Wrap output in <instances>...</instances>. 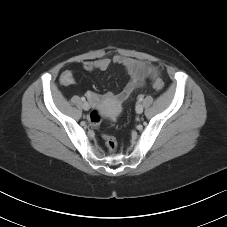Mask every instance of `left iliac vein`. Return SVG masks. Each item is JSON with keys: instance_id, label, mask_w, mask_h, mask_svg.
Listing matches in <instances>:
<instances>
[{"instance_id": "1", "label": "left iliac vein", "mask_w": 227, "mask_h": 227, "mask_svg": "<svg viewBox=\"0 0 227 227\" xmlns=\"http://www.w3.org/2000/svg\"><path fill=\"white\" fill-rule=\"evenodd\" d=\"M135 110L138 114H141L143 112V105L140 103L137 104Z\"/></svg>"}]
</instances>
